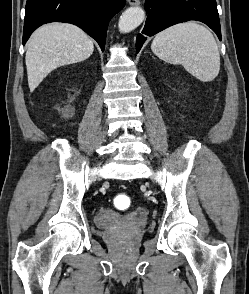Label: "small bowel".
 Returning <instances> with one entry per match:
<instances>
[{
	"label": "small bowel",
	"mask_w": 249,
	"mask_h": 294,
	"mask_svg": "<svg viewBox=\"0 0 249 294\" xmlns=\"http://www.w3.org/2000/svg\"><path fill=\"white\" fill-rule=\"evenodd\" d=\"M106 216H111V213H110V211H108L107 209H103V210L101 211L100 218H105Z\"/></svg>",
	"instance_id": "obj_1"
}]
</instances>
